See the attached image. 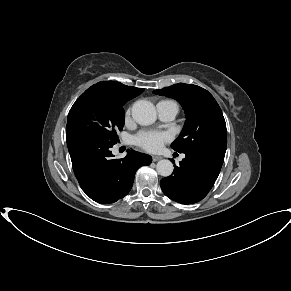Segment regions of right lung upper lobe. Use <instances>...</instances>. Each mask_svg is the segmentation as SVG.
Listing matches in <instances>:
<instances>
[{
	"instance_id": "obj_1",
	"label": "right lung upper lobe",
	"mask_w": 291,
	"mask_h": 291,
	"mask_svg": "<svg viewBox=\"0 0 291 291\" xmlns=\"http://www.w3.org/2000/svg\"><path fill=\"white\" fill-rule=\"evenodd\" d=\"M89 89L106 93L111 97L124 102L129 101L144 91L143 88L126 86L120 82L114 81H101L91 86Z\"/></svg>"
}]
</instances>
